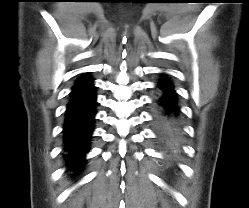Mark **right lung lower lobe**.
<instances>
[{"instance_id": "98d812e1", "label": "right lung lower lobe", "mask_w": 249, "mask_h": 208, "mask_svg": "<svg viewBox=\"0 0 249 208\" xmlns=\"http://www.w3.org/2000/svg\"><path fill=\"white\" fill-rule=\"evenodd\" d=\"M96 105L93 79L83 74L72 87L63 125L64 158L68 170L84 165L85 155L90 150Z\"/></svg>"}]
</instances>
